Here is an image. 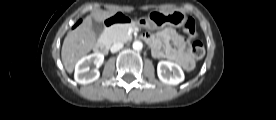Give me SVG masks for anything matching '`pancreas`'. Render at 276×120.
<instances>
[{"mask_svg":"<svg viewBox=\"0 0 276 120\" xmlns=\"http://www.w3.org/2000/svg\"><path fill=\"white\" fill-rule=\"evenodd\" d=\"M129 25L117 24L106 29L104 35L108 44L116 42H126L131 39V35L128 33Z\"/></svg>","mask_w":276,"mask_h":120,"instance_id":"1","label":"pancreas"}]
</instances>
